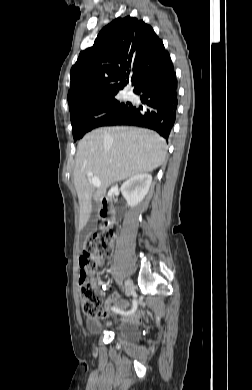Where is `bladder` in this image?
Returning <instances> with one entry per match:
<instances>
[{
	"label": "bladder",
	"instance_id": "31cf9c89",
	"mask_svg": "<svg viewBox=\"0 0 252 390\" xmlns=\"http://www.w3.org/2000/svg\"><path fill=\"white\" fill-rule=\"evenodd\" d=\"M87 328L91 334H100L105 331L104 327L95 321L89 322ZM112 332L117 338L128 343L137 342L140 338V333L136 324H117Z\"/></svg>",
	"mask_w": 252,
	"mask_h": 390
}]
</instances>
